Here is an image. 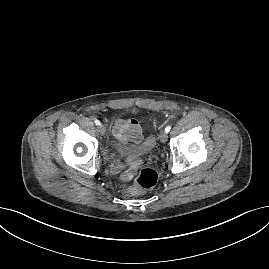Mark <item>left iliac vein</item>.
Returning a JSON list of instances; mask_svg holds the SVG:
<instances>
[{
	"label": "left iliac vein",
	"instance_id": "1",
	"mask_svg": "<svg viewBox=\"0 0 269 269\" xmlns=\"http://www.w3.org/2000/svg\"><path fill=\"white\" fill-rule=\"evenodd\" d=\"M159 137H160V140H161L163 143H165V142L167 141V139H168L167 132H165V131H161Z\"/></svg>",
	"mask_w": 269,
	"mask_h": 269
}]
</instances>
